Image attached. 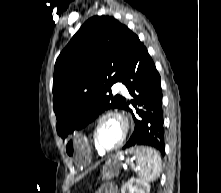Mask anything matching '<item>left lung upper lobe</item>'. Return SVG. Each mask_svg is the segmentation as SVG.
I'll use <instances>...</instances> for the list:
<instances>
[{
  "label": "left lung upper lobe",
  "instance_id": "left-lung-upper-lobe-1",
  "mask_svg": "<svg viewBox=\"0 0 221 193\" xmlns=\"http://www.w3.org/2000/svg\"><path fill=\"white\" fill-rule=\"evenodd\" d=\"M140 40L110 16L88 19L57 58L53 78L56 129L62 138L126 99L110 87L123 79Z\"/></svg>",
  "mask_w": 221,
  "mask_h": 193
}]
</instances>
